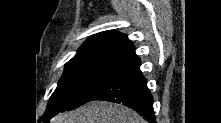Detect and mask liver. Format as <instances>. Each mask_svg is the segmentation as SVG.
Returning a JSON list of instances; mask_svg holds the SVG:
<instances>
[{"label": "liver", "instance_id": "liver-1", "mask_svg": "<svg viewBox=\"0 0 221 123\" xmlns=\"http://www.w3.org/2000/svg\"><path fill=\"white\" fill-rule=\"evenodd\" d=\"M51 123H146L136 112L106 101L90 102L74 111L61 113Z\"/></svg>", "mask_w": 221, "mask_h": 123}]
</instances>
